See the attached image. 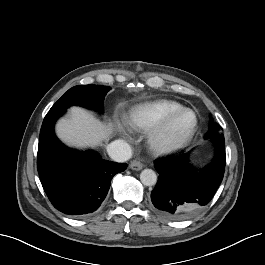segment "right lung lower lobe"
Listing matches in <instances>:
<instances>
[{
    "instance_id": "1",
    "label": "right lung lower lobe",
    "mask_w": 265,
    "mask_h": 265,
    "mask_svg": "<svg viewBox=\"0 0 265 265\" xmlns=\"http://www.w3.org/2000/svg\"><path fill=\"white\" fill-rule=\"evenodd\" d=\"M66 110L49 111L40 131L37 169L52 205L64 214L84 217L98 209L113 176L127 164L103 160L93 151L80 152L63 145L54 123Z\"/></svg>"
}]
</instances>
